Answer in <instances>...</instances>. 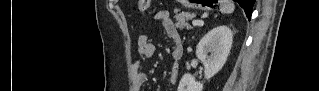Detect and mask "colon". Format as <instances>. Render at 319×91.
Instances as JSON below:
<instances>
[{
    "label": "colon",
    "mask_w": 319,
    "mask_h": 91,
    "mask_svg": "<svg viewBox=\"0 0 319 91\" xmlns=\"http://www.w3.org/2000/svg\"><path fill=\"white\" fill-rule=\"evenodd\" d=\"M150 5H151V1H149V0H139L138 1L139 10L142 12L147 11L150 8Z\"/></svg>",
    "instance_id": "5ec220e1"
}]
</instances>
